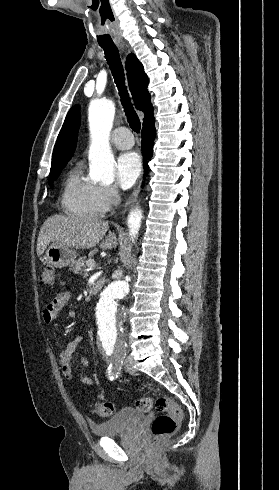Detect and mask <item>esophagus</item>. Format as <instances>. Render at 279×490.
Segmentation results:
<instances>
[{
	"mask_svg": "<svg viewBox=\"0 0 279 490\" xmlns=\"http://www.w3.org/2000/svg\"><path fill=\"white\" fill-rule=\"evenodd\" d=\"M121 47L124 48V45H121ZM139 192H140V186H138V188L134 191L132 196L126 202L125 206H127L129 204H133L136 201V198H137Z\"/></svg>",
	"mask_w": 279,
	"mask_h": 490,
	"instance_id": "esophagus-1",
	"label": "esophagus"
}]
</instances>
